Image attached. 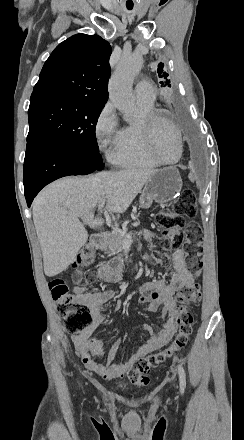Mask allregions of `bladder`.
<instances>
[{
  "mask_svg": "<svg viewBox=\"0 0 244 440\" xmlns=\"http://www.w3.org/2000/svg\"><path fill=\"white\" fill-rule=\"evenodd\" d=\"M123 385V382H120V386H122Z\"/></svg>",
  "mask_w": 244,
  "mask_h": 440,
  "instance_id": "31cf9c89",
  "label": "bladder"
}]
</instances>
